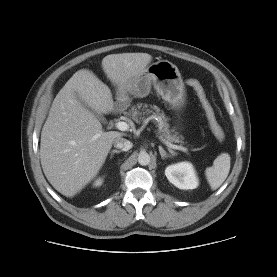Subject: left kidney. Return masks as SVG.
<instances>
[{
	"label": "left kidney",
	"mask_w": 277,
	"mask_h": 277,
	"mask_svg": "<svg viewBox=\"0 0 277 277\" xmlns=\"http://www.w3.org/2000/svg\"><path fill=\"white\" fill-rule=\"evenodd\" d=\"M165 175L169 182L179 189H195L199 185L198 177L190 162H179L167 166Z\"/></svg>",
	"instance_id": "left-kidney-1"
}]
</instances>
